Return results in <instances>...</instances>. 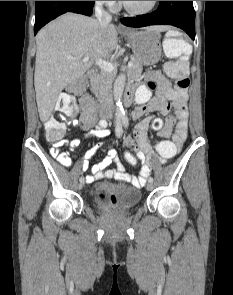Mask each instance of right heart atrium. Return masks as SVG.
<instances>
[{
  "mask_svg": "<svg viewBox=\"0 0 233 295\" xmlns=\"http://www.w3.org/2000/svg\"><path fill=\"white\" fill-rule=\"evenodd\" d=\"M102 5H105L107 6L108 8H115L116 7V4H117V1H96Z\"/></svg>",
  "mask_w": 233,
  "mask_h": 295,
  "instance_id": "1",
  "label": "right heart atrium"
}]
</instances>
